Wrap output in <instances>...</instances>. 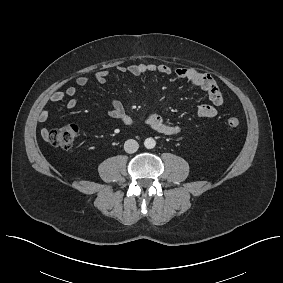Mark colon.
<instances>
[{
  "mask_svg": "<svg viewBox=\"0 0 283 283\" xmlns=\"http://www.w3.org/2000/svg\"><path fill=\"white\" fill-rule=\"evenodd\" d=\"M227 125L231 128H236L240 125V120L237 117H229ZM78 136V127L74 124H67L62 127L50 130L47 134L49 142L63 150H72L75 146Z\"/></svg>",
  "mask_w": 283,
  "mask_h": 283,
  "instance_id": "obj_1",
  "label": "colon"
}]
</instances>
